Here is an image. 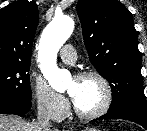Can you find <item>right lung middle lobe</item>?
Masks as SVG:
<instances>
[{
  "label": "right lung middle lobe",
  "mask_w": 147,
  "mask_h": 131,
  "mask_svg": "<svg viewBox=\"0 0 147 131\" xmlns=\"http://www.w3.org/2000/svg\"><path fill=\"white\" fill-rule=\"evenodd\" d=\"M30 62L0 59V97L31 102Z\"/></svg>",
  "instance_id": "right-lung-middle-lobe-1"
}]
</instances>
